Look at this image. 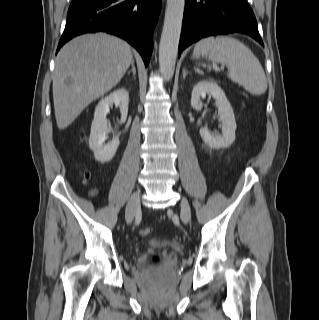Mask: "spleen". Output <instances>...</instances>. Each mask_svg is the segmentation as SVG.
Masks as SVG:
<instances>
[{"label":"spleen","instance_id":"1","mask_svg":"<svg viewBox=\"0 0 319 320\" xmlns=\"http://www.w3.org/2000/svg\"><path fill=\"white\" fill-rule=\"evenodd\" d=\"M194 56L226 65L228 77L252 95H261L267 90V79L259 60L237 39L228 36L203 38L196 43Z\"/></svg>","mask_w":319,"mask_h":320}]
</instances>
